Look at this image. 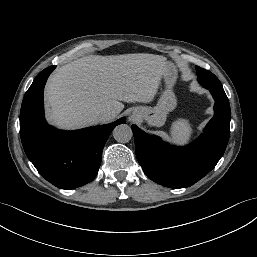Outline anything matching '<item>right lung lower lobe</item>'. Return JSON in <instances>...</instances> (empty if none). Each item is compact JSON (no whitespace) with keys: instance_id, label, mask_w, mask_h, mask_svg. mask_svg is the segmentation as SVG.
<instances>
[{"instance_id":"1","label":"right lung lower lobe","mask_w":257,"mask_h":257,"mask_svg":"<svg viewBox=\"0 0 257 257\" xmlns=\"http://www.w3.org/2000/svg\"><path fill=\"white\" fill-rule=\"evenodd\" d=\"M55 66L40 72L27 90L20 114V135L24 151L37 171L61 189H73L91 182L100 167L102 150L112 130L125 117L101 126L60 131L44 119L43 91Z\"/></svg>"}]
</instances>
